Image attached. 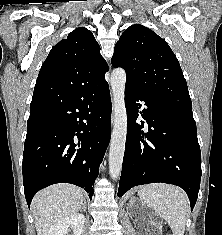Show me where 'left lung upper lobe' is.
Instances as JSON below:
<instances>
[{"label": "left lung upper lobe", "instance_id": "5c2ea615", "mask_svg": "<svg viewBox=\"0 0 222 235\" xmlns=\"http://www.w3.org/2000/svg\"><path fill=\"white\" fill-rule=\"evenodd\" d=\"M114 67L126 71V84L162 103L192 113V103L180 64L167 44L149 28L128 27L115 45Z\"/></svg>", "mask_w": 222, "mask_h": 235}]
</instances>
